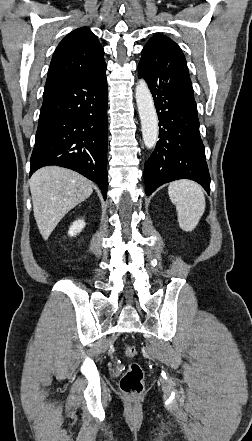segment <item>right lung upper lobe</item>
<instances>
[{"instance_id":"cb5924a9","label":"right lung upper lobe","mask_w":252,"mask_h":441,"mask_svg":"<svg viewBox=\"0 0 252 441\" xmlns=\"http://www.w3.org/2000/svg\"><path fill=\"white\" fill-rule=\"evenodd\" d=\"M104 50L87 27L69 33L56 48L45 88L106 69Z\"/></svg>"}]
</instances>
